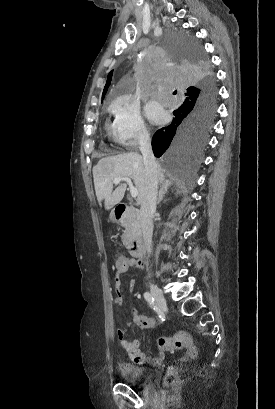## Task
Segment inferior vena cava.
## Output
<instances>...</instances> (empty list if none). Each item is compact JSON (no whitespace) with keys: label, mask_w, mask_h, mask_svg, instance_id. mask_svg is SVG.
<instances>
[{"label":"inferior vena cava","mask_w":275,"mask_h":409,"mask_svg":"<svg viewBox=\"0 0 275 409\" xmlns=\"http://www.w3.org/2000/svg\"><path fill=\"white\" fill-rule=\"evenodd\" d=\"M138 138L146 170L145 192L140 209L141 227L146 251L150 255L153 235L152 217L157 205L158 170L148 130H140Z\"/></svg>","instance_id":"1"}]
</instances>
